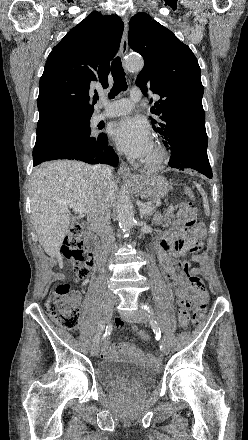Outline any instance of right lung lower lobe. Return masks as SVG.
<instances>
[{
    "label": "right lung lower lobe",
    "mask_w": 248,
    "mask_h": 440,
    "mask_svg": "<svg viewBox=\"0 0 248 440\" xmlns=\"http://www.w3.org/2000/svg\"><path fill=\"white\" fill-rule=\"evenodd\" d=\"M90 118H72L37 134L33 166L57 159L116 165L118 157L112 147L108 146L107 136L100 134L98 137H90V133L82 131L83 125L90 124Z\"/></svg>",
    "instance_id": "1"
}]
</instances>
